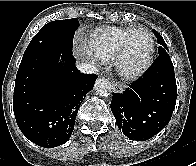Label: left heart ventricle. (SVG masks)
I'll use <instances>...</instances> for the list:
<instances>
[{
	"mask_svg": "<svg viewBox=\"0 0 196 166\" xmlns=\"http://www.w3.org/2000/svg\"><path fill=\"white\" fill-rule=\"evenodd\" d=\"M150 48V39L145 32H137L130 41V55L128 65L139 66L147 57Z\"/></svg>",
	"mask_w": 196,
	"mask_h": 166,
	"instance_id": "1",
	"label": "left heart ventricle"
}]
</instances>
